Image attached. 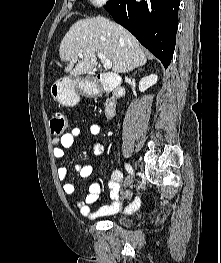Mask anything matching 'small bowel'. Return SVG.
I'll return each mask as SVG.
<instances>
[{"label":"small bowel","instance_id":"1","mask_svg":"<svg viewBox=\"0 0 221 263\" xmlns=\"http://www.w3.org/2000/svg\"><path fill=\"white\" fill-rule=\"evenodd\" d=\"M102 126L100 124H93L89 128V133L92 136H98L101 133ZM83 135V131L80 128H73L70 132L64 134L59 139L53 140L52 154L55 159H62L65 155V150L72 147L74 141ZM92 150L96 155H102L105 152V145L101 141L94 140L91 143ZM75 171L82 178H87L92 174V166L88 164H79L75 166ZM57 176L63 182L62 189L65 194L72 195L75 192V186L73 183L66 181L68 176V170L66 167H59L57 169ZM123 173L118 170H114L110 174L109 188L111 204L99 208L96 212H92L89 205L95 203L101 194V184L99 182H93L89 186L88 195L85 198H77L75 205L80 209L82 215L86 217H101L107 215H113L119 211L131 213L136 211L141 204L139 197H132L130 192H121V182L123 181ZM121 196L128 200L129 203L126 206L122 205Z\"/></svg>","mask_w":221,"mask_h":263}]
</instances>
